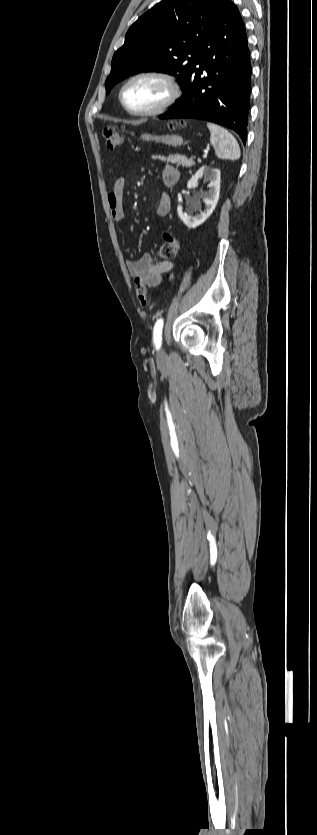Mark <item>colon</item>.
<instances>
[{
    "label": "colon",
    "instance_id": "1",
    "mask_svg": "<svg viewBox=\"0 0 317 835\" xmlns=\"http://www.w3.org/2000/svg\"><path fill=\"white\" fill-rule=\"evenodd\" d=\"M175 124L172 125L174 127ZM104 138L106 140L107 148L115 150L123 143V134L113 127H106L104 129ZM164 242L159 249V256L164 259H172L180 252L181 242L173 234L169 232L164 233ZM136 293L142 305L148 303L147 289L140 284L136 285Z\"/></svg>",
    "mask_w": 317,
    "mask_h": 835
}]
</instances>
